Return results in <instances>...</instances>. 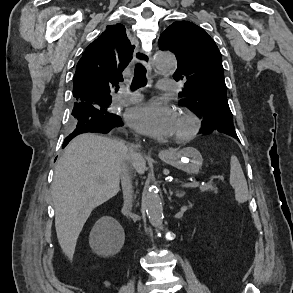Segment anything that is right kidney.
Segmentation results:
<instances>
[{"label":"right kidney","mask_w":293,"mask_h":293,"mask_svg":"<svg viewBox=\"0 0 293 293\" xmlns=\"http://www.w3.org/2000/svg\"><path fill=\"white\" fill-rule=\"evenodd\" d=\"M109 221L112 222L113 226L109 227L107 237L102 241L101 249L108 255H114L120 251L124 244V231L119 223L109 217Z\"/></svg>","instance_id":"ca27d5eb"}]
</instances>
